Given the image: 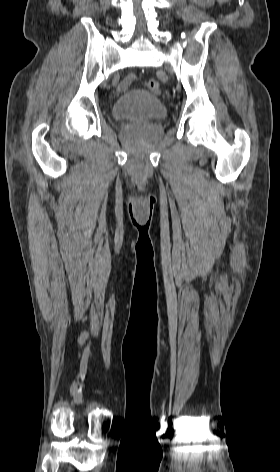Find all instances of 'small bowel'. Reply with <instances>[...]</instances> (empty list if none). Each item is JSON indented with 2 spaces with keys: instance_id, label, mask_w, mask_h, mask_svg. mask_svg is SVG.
Here are the masks:
<instances>
[{
  "instance_id": "1",
  "label": "small bowel",
  "mask_w": 280,
  "mask_h": 472,
  "mask_svg": "<svg viewBox=\"0 0 280 472\" xmlns=\"http://www.w3.org/2000/svg\"><path fill=\"white\" fill-rule=\"evenodd\" d=\"M135 80H136V76L134 74H129L121 82V84L119 86L120 90L121 91L126 90Z\"/></svg>"
}]
</instances>
